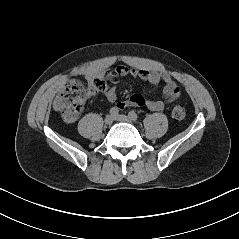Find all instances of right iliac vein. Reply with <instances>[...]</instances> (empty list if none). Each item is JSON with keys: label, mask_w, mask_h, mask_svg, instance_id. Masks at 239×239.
<instances>
[{"label": "right iliac vein", "mask_w": 239, "mask_h": 239, "mask_svg": "<svg viewBox=\"0 0 239 239\" xmlns=\"http://www.w3.org/2000/svg\"><path fill=\"white\" fill-rule=\"evenodd\" d=\"M113 119H114V117L112 115H108V116H106L104 122L106 125H111L113 122Z\"/></svg>", "instance_id": "63e3f726"}]
</instances>
